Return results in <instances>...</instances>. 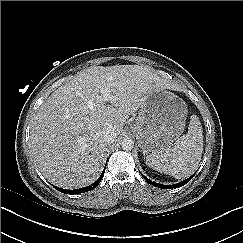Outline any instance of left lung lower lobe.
Here are the masks:
<instances>
[{
    "mask_svg": "<svg viewBox=\"0 0 243 243\" xmlns=\"http://www.w3.org/2000/svg\"><path fill=\"white\" fill-rule=\"evenodd\" d=\"M194 175H195V173H194ZM194 175H193V176H194ZM142 176H143V178H144L149 184H152L153 186L158 187V188H162V189L179 188V187L185 185L186 183H188V182L192 179V177H193V176H191L190 178H188V179H186V180H183V181H181V182H179V183H177V184H175V185H163V184H158V183L152 182L151 180H149L148 178H146L144 175H142Z\"/></svg>",
    "mask_w": 243,
    "mask_h": 243,
    "instance_id": "obj_1",
    "label": "left lung lower lobe"
}]
</instances>
